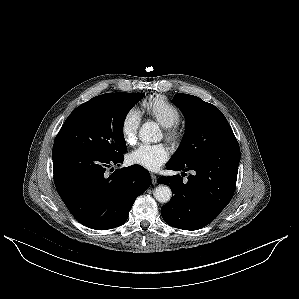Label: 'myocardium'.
Instances as JSON below:
<instances>
[{
  "mask_svg": "<svg viewBox=\"0 0 299 299\" xmlns=\"http://www.w3.org/2000/svg\"><path fill=\"white\" fill-rule=\"evenodd\" d=\"M165 130V137L171 141V142H175L179 139L180 137V131L178 130V128L174 125L171 127H164Z\"/></svg>",
  "mask_w": 299,
  "mask_h": 299,
  "instance_id": "myocardium-1",
  "label": "myocardium"
}]
</instances>
